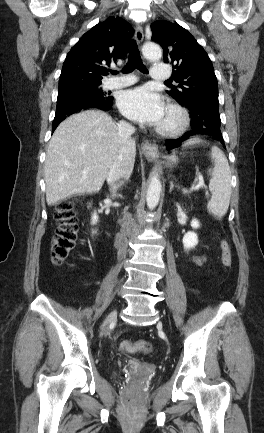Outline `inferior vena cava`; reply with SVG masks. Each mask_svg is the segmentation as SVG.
<instances>
[{
  "instance_id": "inferior-vena-cava-1",
  "label": "inferior vena cava",
  "mask_w": 264,
  "mask_h": 433,
  "mask_svg": "<svg viewBox=\"0 0 264 433\" xmlns=\"http://www.w3.org/2000/svg\"><path fill=\"white\" fill-rule=\"evenodd\" d=\"M135 132V128L127 123L126 121H120L118 123V137L121 141V143L123 144V147L121 149V152L124 150V144L131 138V135ZM124 178V179H128L124 173L123 170L121 169L119 164L114 163L108 174H107V182L110 186V191L115 194V192L117 191L118 187L117 185L120 182V179Z\"/></svg>"
}]
</instances>
